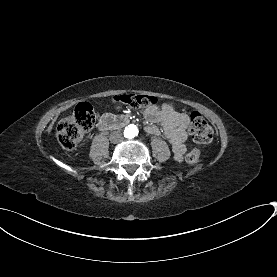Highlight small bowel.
Wrapping results in <instances>:
<instances>
[{
  "label": "small bowel",
  "instance_id": "1",
  "mask_svg": "<svg viewBox=\"0 0 277 277\" xmlns=\"http://www.w3.org/2000/svg\"><path fill=\"white\" fill-rule=\"evenodd\" d=\"M144 117L151 122L146 127V132L158 136L162 130L172 145L175 160L181 161L186 151L185 142L188 138V115L178 111L175 105L164 103L146 108Z\"/></svg>",
  "mask_w": 277,
  "mask_h": 277
}]
</instances>
